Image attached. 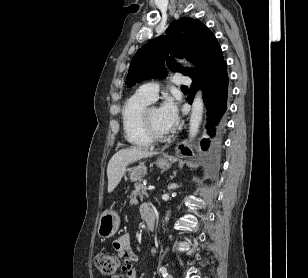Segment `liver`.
<instances>
[{"mask_svg": "<svg viewBox=\"0 0 308 278\" xmlns=\"http://www.w3.org/2000/svg\"><path fill=\"white\" fill-rule=\"evenodd\" d=\"M156 154L158 153L140 147L122 149L116 152L107 166L108 192L111 193L117 187L129 164Z\"/></svg>", "mask_w": 308, "mask_h": 278, "instance_id": "obj_1", "label": "liver"}]
</instances>
